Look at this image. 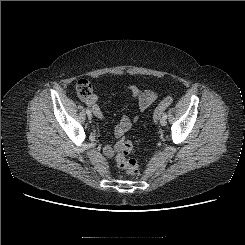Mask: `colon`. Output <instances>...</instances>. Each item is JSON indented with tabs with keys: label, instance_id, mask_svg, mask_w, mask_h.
Segmentation results:
<instances>
[{
	"label": "colon",
	"instance_id": "colon-1",
	"mask_svg": "<svg viewBox=\"0 0 245 245\" xmlns=\"http://www.w3.org/2000/svg\"><path fill=\"white\" fill-rule=\"evenodd\" d=\"M75 90L77 95L87 100L92 95V86L91 84L85 80L80 79L77 81L75 85ZM173 102V98L168 96L162 99L158 106L155 108L153 112V121L156 123L164 110H166ZM122 135H124V131H120ZM133 152V145L129 141H121L119 144L118 154L116 157L117 164L120 168L126 170L129 174L136 175L139 172V166L135 159L130 158L129 155Z\"/></svg>",
	"mask_w": 245,
	"mask_h": 245
}]
</instances>
